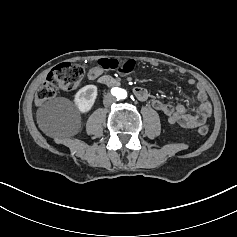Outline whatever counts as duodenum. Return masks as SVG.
Wrapping results in <instances>:
<instances>
[{
  "label": "duodenum",
  "instance_id": "duodenum-1",
  "mask_svg": "<svg viewBox=\"0 0 237 237\" xmlns=\"http://www.w3.org/2000/svg\"><path fill=\"white\" fill-rule=\"evenodd\" d=\"M98 82L107 87H116L120 85V82L110 76H102L98 79Z\"/></svg>",
  "mask_w": 237,
  "mask_h": 237
}]
</instances>
